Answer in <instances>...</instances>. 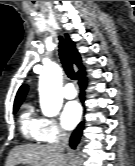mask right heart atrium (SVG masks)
I'll return each mask as SVG.
<instances>
[{"instance_id":"1","label":"right heart atrium","mask_w":135,"mask_h":166,"mask_svg":"<svg viewBox=\"0 0 135 166\" xmlns=\"http://www.w3.org/2000/svg\"><path fill=\"white\" fill-rule=\"evenodd\" d=\"M63 137L64 133L55 120L50 118L42 119V138L44 141L54 142Z\"/></svg>"}]
</instances>
